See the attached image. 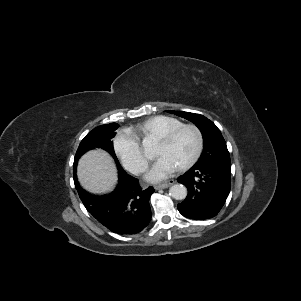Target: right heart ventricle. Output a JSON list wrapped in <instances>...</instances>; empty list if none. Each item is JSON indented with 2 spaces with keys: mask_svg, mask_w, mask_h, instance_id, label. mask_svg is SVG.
<instances>
[{
  "mask_svg": "<svg viewBox=\"0 0 301 301\" xmlns=\"http://www.w3.org/2000/svg\"><path fill=\"white\" fill-rule=\"evenodd\" d=\"M183 122L177 118L158 115L150 117L128 129L138 139L158 138L166 132L180 126Z\"/></svg>",
  "mask_w": 301,
  "mask_h": 301,
  "instance_id": "right-heart-ventricle-1",
  "label": "right heart ventricle"
}]
</instances>
